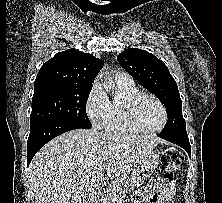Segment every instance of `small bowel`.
Instances as JSON below:
<instances>
[{
    "instance_id": "small-bowel-1",
    "label": "small bowel",
    "mask_w": 222,
    "mask_h": 203,
    "mask_svg": "<svg viewBox=\"0 0 222 203\" xmlns=\"http://www.w3.org/2000/svg\"><path fill=\"white\" fill-rule=\"evenodd\" d=\"M175 193V183L162 184L160 181H152L148 187L141 190L134 203H172Z\"/></svg>"
}]
</instances>
